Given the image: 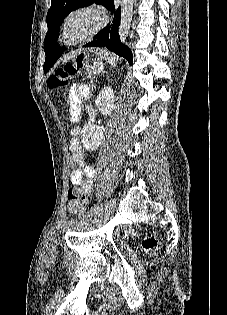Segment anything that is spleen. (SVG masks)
<instances>
[{"label":"spleen","instance_id":"spleen-1","mask_svg":"<svg viewBox=\"0 0 227 315\" xmlns=\"http://www.w3.org/2000/svg\"><path fill=\"white\" fill-rule=\"evenodd\" d=\"M106 59L108 60L109 63H111V65H115V58L109 54H106Z\"/></svg>","mask_w":227,"mask_h":315}]
</instances>
